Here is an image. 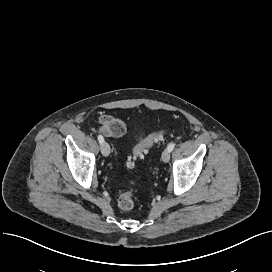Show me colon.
Returning a JSON list of instances; mask_svg holds the SVG:
<instances>
[{
	"instance_id": "1",
	"label": "colon",
	"mask_w": 272,
	"mask_h": 272,
	"mask_svg": "<svg viewBox=\"0 0 272 272\" xmlns=\"http://www.w3.org/2000/svg\"><path fill=\"white\" fill-rule=\"evenodd\" d=\"M100 130L106 136H120L124 132V123L121 119L103 116L100 120ZM164 140L163 131H158L149 136L142 144H140L134 151V155L140 156L147 151V149L156 143ZM125 167L131 169L133 167V157L129 156L125 160ZM118 207L123 211H130L135 206L134 195L131 192L123 193L118 198Z\"/></svg>"
}]
</instances>
